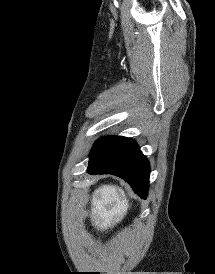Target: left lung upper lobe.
Returning <instances> with one entry per match:
<instances>
[{"label": "left lung upper lobe", "instance_id": "1", "mask_svg": "<svg viewBox=\"0 0 215 274\" xmlns=\"http://www.w3.org/2000/svg\"><path fill=\"white\" fill-rule=\"evenodd\" d=\"M107 138H108V137H106V136L100 138V139L94 144V146H93L91 152L94 151L99 145H101Z\"/></svg>", "mask_w": 215, "mask_h": 274}]
</instances>
